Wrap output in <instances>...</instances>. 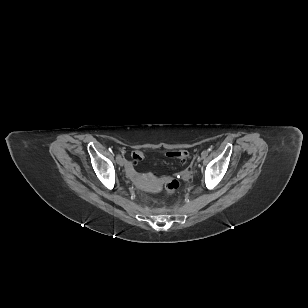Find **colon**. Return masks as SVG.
Masks as SVG:
<instances>
[{
	"label": "colon",
	"instance_id": "colon-1",
	"mask_svg": "<svg viewBox=\"0 0 308 308\" xmlns=\"http://www.w3.org/2000/svg\"><path fill=\"white\" fill-rule=\"evenodd\" d=\"M168 155L170 157L179 158L182 161H185L187 158V152L183 150L170 152ZM143 157L144 155L140 151H136L132 155V158L135 162L141 161ZM159 180L161 184L164 186L165 190L170 194L175 193L179 188V182L175 178L165 176V177H161Z\"/></svg>",
	"mask_w": 308,
	"mask_h": 308
}]
</instances>
